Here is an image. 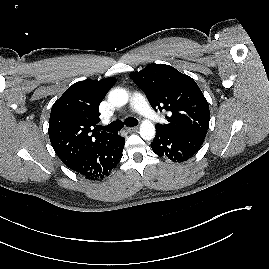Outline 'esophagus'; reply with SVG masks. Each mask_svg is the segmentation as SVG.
Here are the masks:
<instances>
[{"label":"esophagus","mask_w":269,"mask_h":269,"mask_svg":"<svg viewBox=\"0 0 269 269\" xmlns=\"http://www.w3.org/2000/svg\"><path fill=\"white\" fill-rule=\"evenodd\" d=\"M137 130H138V127H137V126H136V127H127V128H126V131L129 132V133H130V132H135V131H137Z\"/></svg>","instance_id":"esophagus-1"}]
</instances>
